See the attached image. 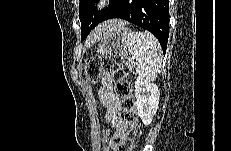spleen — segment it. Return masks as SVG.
<instances>
[{"mask_svg": "<svg viewBox=\"0 0 231 151\" xmlns=\"http://www.w3.org/2000/svg\"><path fill=\"white\" fill-rule=\"evenodd\" d=\"M126 45L136 73L148 81L155 80L162 64V50L157 38L147 31H130Z\"/></svg>", "mask_w": 231, "mask_h": 151, "instance_id": "3e777b00", "label": "spleen"}]
</instances>
